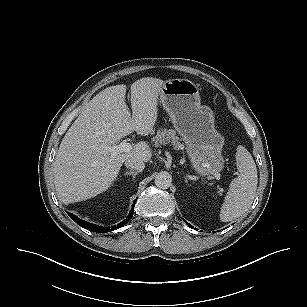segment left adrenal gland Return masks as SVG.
<instances>
[{"label":"left adrenal gland","mask_w":307,"mask_h":307,"mask_svg":"<svg viewBox=\"0 0 307 307\" xmlns=\"http://www.w3.org/2000/svg\"><path fill=\"white\" fill-rule=\"evenodd\" d=\"M185 182L187 183L188 181H187V178H185Z\"/></svg>","instance_id":"1"}]
</instances>
